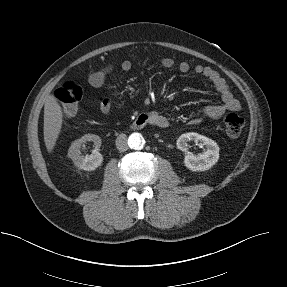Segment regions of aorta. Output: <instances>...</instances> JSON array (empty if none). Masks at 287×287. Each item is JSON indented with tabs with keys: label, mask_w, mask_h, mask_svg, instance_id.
<instances>
[{
	"label": "aorta",
	"mask_w": 287,
	"mask_h": 287,
	"mask_svg": "<svg viewBox=\"0 0 287 287\" xmlns=\"http://www.w3.org/2000/svg\"><path fill=\"white\" fill-rule=\"evenodd\" d=\"M144 143V138L140 133H133L128 138V145L131 149L140 150Z\"/></svg>",
	"instance_id": "aorta-1"
}]
</instances>
